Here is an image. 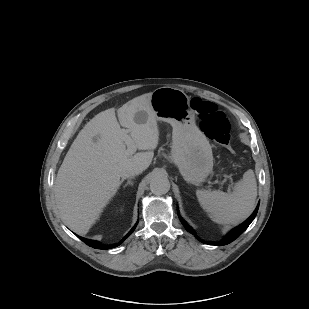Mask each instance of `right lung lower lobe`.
<instances>
[{
	"instance_id": "1",
	"label": "right lung lower lobe",
	"mask_w": 309,
	"mask_h": 309,
	"mask_svg": "<svg viewBox=\"0 0 309 309\" xmlns=\"http://www.w3.org/2000/svg\"><path fill=\"white\" fill-rule=\"evenodd\" d=\"M136 225H137V223L120 242L113 244V245H103L98 241L85 239V238H82L80 236H78V238H80L85 244H87L88 246H91L93 248H96V249H111V248L119 246L134 231Z\"/></svg>"
}]
</instances>
